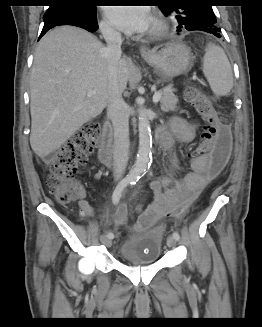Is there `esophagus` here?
I'll return each mask as SVG.
<instances>
[{
    "label": "esophagus",
    "instance_id": "obj_1",
    "mask_svg": "<svg viewBox=\"0 0 262 327\" xmlns=\"http://www.w3.org/2000/svg\"><path fill=\"white\" fill-rule=\"evenodd\" d=\"M140 53L142 56H151L152 55V51L146 46H141Z\"/></svg>",
    "mask_w": 262,
    "mask_h": 327
}]
</instances>
